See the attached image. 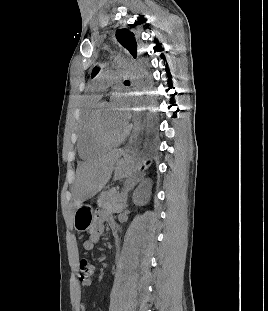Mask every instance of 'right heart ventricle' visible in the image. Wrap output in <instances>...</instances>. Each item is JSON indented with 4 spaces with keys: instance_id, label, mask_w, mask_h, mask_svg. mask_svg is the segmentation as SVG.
I'll return each mask as SVG.
<instances>
[{
    "instance_id": "1",
    "label": "right heart ventricle",
    "mask_w": 268,
    "mask_h": 311,
    "mask_svg": "<svg viewBox=\"0 0 268 311\" xmlns=\"http://www.w3.org/2000/svg\"><path fill=\"white\" fill-rule=\"evenodd\" d=\"M99 96L88 95L84 98L78 115V141L77 147L80 157L83 159L93 158L102 153L107 147L98 144L92 134V119Z\"/></svg>"
}]
</instances>
